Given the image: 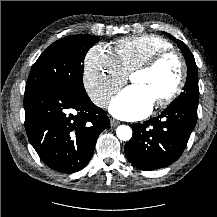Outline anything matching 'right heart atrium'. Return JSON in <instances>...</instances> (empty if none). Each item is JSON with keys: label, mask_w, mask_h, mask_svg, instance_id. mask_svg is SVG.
<instances>
[{"label": "right heart atrium", "mask_w": 217, "mask_h": 217, "mask_svg": "<svg viewBox=\"0 0 217 217\" xmlns=\"http://www.w3.org/2000/svg\"><path fill=\"white\" fill-rule=\"evenodd\" d=\"M126 80L127 74L106 45L98 44L89 49L85 57L83 82L96 106L104 108Z\"/></svg>", "instance_id": "1"}]
</instances>
